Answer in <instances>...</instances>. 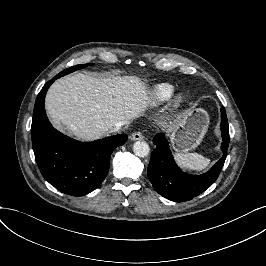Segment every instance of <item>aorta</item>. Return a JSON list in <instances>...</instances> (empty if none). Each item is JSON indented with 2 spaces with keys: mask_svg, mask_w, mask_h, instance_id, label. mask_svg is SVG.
Listing matches in <instances>:
<instances>
[{
  "mask_svg": "<svg viewBox=\"0 0 266 266\" xmlns=\"http://www.w3.org/2000/svg\"><path fill=\"white\" fill-rule=\"evenodd\" d=\"M133 152L136 156L145 158L150 154V146L144 141H137L133 145Z\"/></svg>",
  "mask_w": 266,
  "mask_h": 266,
  "instance_id": "1",
  "label": "aorta"
}]
</instances>
